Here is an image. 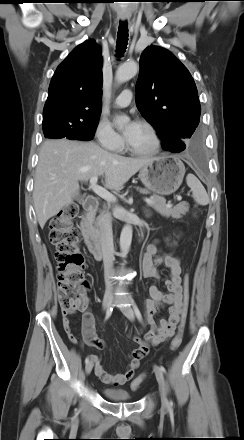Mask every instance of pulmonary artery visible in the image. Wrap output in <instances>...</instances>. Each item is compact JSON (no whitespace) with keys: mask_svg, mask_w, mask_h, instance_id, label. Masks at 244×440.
I'll return each instance as SVG.
<instances>
[{"mask_svg":"<svg viewBox=\"0 0 244 440\" xmlns=\"http://www.w3.org/2000/svg\"><path fill=\"white\" fill-rule=\"evenodd\" d=\"M131 100H132V92L130 90H124L115 100V106L117 108L127 107L131 103Z\"/></svg>","mask_w":244,"mask_h":440,"instance_id":"e3ab8cb5","label":"pulmonary artery"}]
</instances>
